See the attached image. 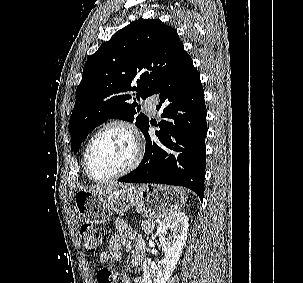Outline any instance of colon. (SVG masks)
<instances>
[{"label": "colon", "instance_id": "obj_1", "mask_svg": "<svg viewBox=\"0 0 303 283\" xmlns=\"http://www.w3.org/2000/svg\"><path fill=\"white\" fill-rule=\"evenodd\" d=\"M80 236L86 251L93 254L105 243L107 234L92 225H83ZM97 281L98 283H116L117 272L111 268H102L97 272Z\"/></svg>", "mask_w": 303, "mask_h": 283}]
</instances>
